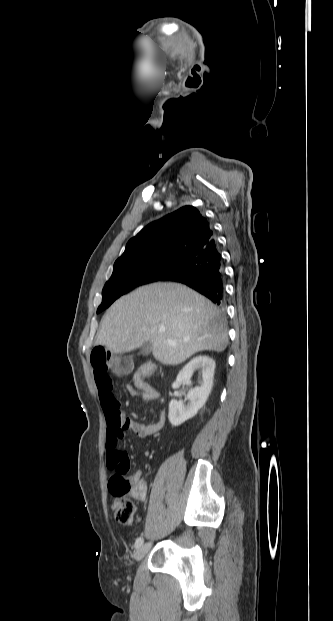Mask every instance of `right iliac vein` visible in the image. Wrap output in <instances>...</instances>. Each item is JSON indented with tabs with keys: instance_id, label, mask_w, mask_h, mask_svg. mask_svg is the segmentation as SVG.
Here are the masks:
<instances>
[{
	"instance_id": "obj_1",
	"label": "right iliac vein",
	"mask_w": 333,
	"mask_h": 621,
	"mask_svg": "<svg viewBox=\"0 0 333 621\" xmlns=\"http://www.w3.org/2000/svg\"><path fill=\"white\" fill-rule=\"evenodd\" d=\"M150 547H151V543H145L141 545L135 553V560L141 561L145 557V555L148 553Z\"/></svg>"
}]
</instances>
